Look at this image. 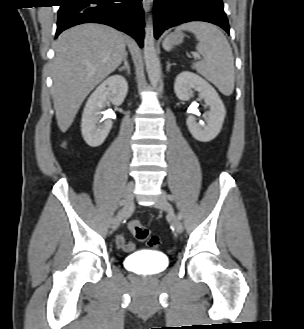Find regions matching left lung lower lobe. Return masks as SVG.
Wrapping results in <instances>:
<instances>
[{"label":"left lung lower lobe","instance_id":"0a47b994","mask_svg":"<svg viewBox=\"0 0 304 329\" xmlns=\"http://www.w3.org/2000/svg\"><path fill=\"white\" fill-rule=\"evenodd\" d=\"M190 21H205L220 26L229 34L222 0H155L154 35Z\"/></svg>","mask_w":304,"mask_h":329}]
</instances>
